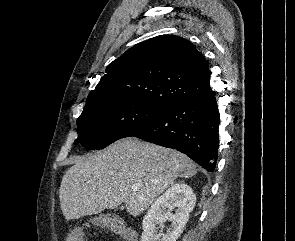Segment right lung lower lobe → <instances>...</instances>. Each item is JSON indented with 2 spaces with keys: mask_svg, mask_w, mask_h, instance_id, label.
Listing matches in <instances>:
<instances>
[{
  "mask_svg": "<svg viewBox=\"0 0 295 241\" xmlns=\"http://www.w3.org/2000/svg\"><path fill=\"white\" fill-rule=\"evenodd\" d=\"M219 124L218 106L210 88L204 93L175 101L154 119L124 137L135 136L176 149L212 172L218 157Z\"/></svg>",
  "mask_w": 295,
  "mask_h": 241,
  "instance_id": "right-lung-lower-lobe-1",
  "label": "right lung lower lobe"
}]
</instances>
